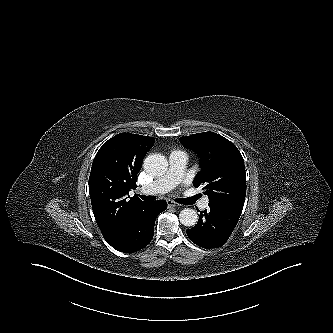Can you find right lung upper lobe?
<instances>
[{"instance_id":"1","label":"right lung upper lobe","mask_w":333,"mask_h":333,"mask_svg":"<svg viewBox=\"0 0 333 333\" xmlns=\"http://www.w3.org/2000/svg\"><path fill=\"white\" fill-rule=\"evenodd\" d=\"M155 143L154 137L120 133L105 142L97 152L89 177V194L96 222L111 244L122 233L133 213L148 202L134 196L137 173L146 153Z\"/></svg>"}]
</instances>
